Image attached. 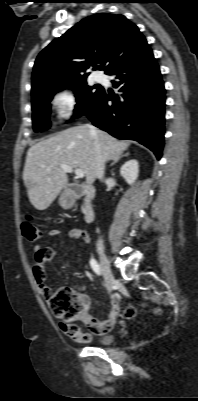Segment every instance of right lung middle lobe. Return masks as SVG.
<instances>
[{"label":"right lung middle lobe","instance_id":"dd1d6c3e","mask_svg":"<svg viewBox=\"0 0 198 401\" xmlns=\"http://www.w3.org/2000/svg\"><path fill=\"white\" fill-rule=\"evenodd\" d=\"M64 88L74 89L77 105L74 110V117H80L85 115L94 105L96 100L101 95L102 87H90L86 85V81H82L67 87L49 90L43 92L32 99V111H33V129L34 131H43L50 127L49 114L50 104L53 95ZM98 88L97 90H93Z\"/></svg>","mask_w":198,"mask_h":401}]
</instances>
